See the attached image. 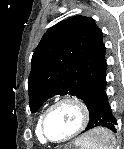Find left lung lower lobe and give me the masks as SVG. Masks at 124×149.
<instances>
[{
    "label": "left lung lower lobe",
    "instance_id": "obj_1",
    "mask_svg": "<svg viewBox=\"0 0 124 149\" xmlns=\"http://www.w3.org/2000/svg\"><path fill=\"white\" fill-rule=\"evenodd\" d=\"M105 86L106 81L87 96L85 104L89 110L90 120L85 131L96 127H105L116 132L117 120L112 114Z\"/></svg>",
    "mask_w": 124,
    "mask_h": 149
}]
</instances>
